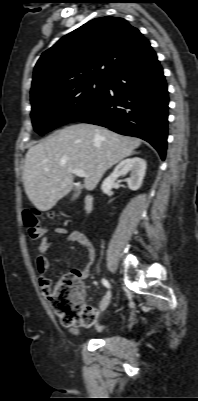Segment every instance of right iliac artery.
<instances>
[{
    "instance_id": "obj_1",
    "label": "right iliac artery",
    "mask_w": 198,
    "mask_h": 401,
    "mask_svg": "<svg viewBox=\"0 0 198 401\" xmlns=\"http://www.w3.org/2000/svg\"><path fill=\"white\" fill-rule=\"evenodd\" d=\"M102 283L105 287L110 288V284L106 279H102ZM106 298L104 297L103 302H105Z\"/></svg>"
}]
</instances>
